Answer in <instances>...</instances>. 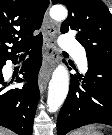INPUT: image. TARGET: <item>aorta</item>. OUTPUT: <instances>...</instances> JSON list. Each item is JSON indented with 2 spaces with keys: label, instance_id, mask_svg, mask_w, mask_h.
I'll list each match as a JSON object with an SVG mask.
<instances>
[{
  "label": "aorta",
  "instance_id": "762f6f07",
  "mask_svg": "<svg viewBox=\"0 0 112 135\" xmlns=\"http://www.w3.org/2000/svg\"><path fill=\"white\" fill-rule=\"evenodd\" d=\"M67 10L64 6H53L50 16L56 21L65 20ZM69 89V73L64 64L59 65L53 72L49 83L47 107L49 112H56L64 103Z\"/></svg>",
  "mask_w": 112,
  "mask_h": 135
}]
</instances>
